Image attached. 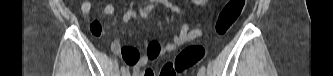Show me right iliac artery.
<instances>
[{
  "instance_id": "right-iliac-artery-1",
  "label": "right iliac artery",
  "mask_w": 333,
  "mask_h": 76,
  "mask_svg": "<svg viewBox=\"0 0 333 76\" xmlns=\"http://www.w3.org/2000/svg\"><path fill=\"white\" fill-rule=\"evenodd\" d=\"M152 8H153L152 5L148 7L149 10H151ZM121 72H122V74L125 73V72H128L125 66L121 67Z\"/></svg>"
}]
</instances>
